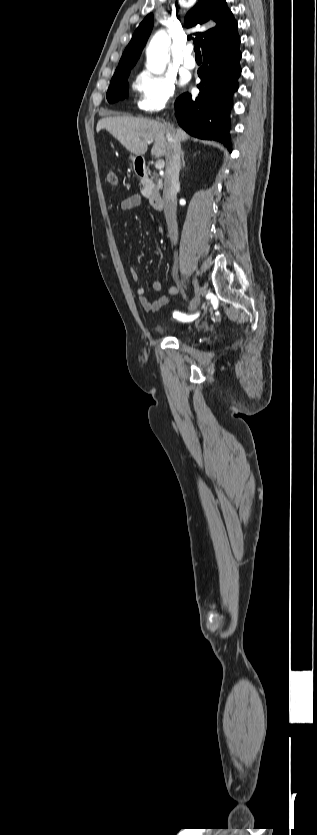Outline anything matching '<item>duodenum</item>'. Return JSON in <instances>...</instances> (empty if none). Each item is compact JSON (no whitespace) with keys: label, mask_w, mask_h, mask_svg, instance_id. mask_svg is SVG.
<instances>
[{"label":"duodenum","mask_w":317,"mask_h":835,"mask_svg":"<svg viewBox=\"0 0 317 835\" xmlns=\"http://www.w3.org/2000/svg\"><path fill=\"white\" fill-rule=\"evenodd\" d=\"M135 170L136 173L141 177L148 176V169L143 160H137L135 162ZM149 203L151 207L155 210H161L163 208V198L160 193H153L149 197Z\"/></svg>","instance_id":"obj_1"}]
</instances>
